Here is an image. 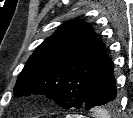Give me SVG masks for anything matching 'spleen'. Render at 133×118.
I'll use <instances>...</instances> for the list:
<instances>
[{"mask_svg":"<svg viewBox=\"0 0 133 118\" xmlns=\"http://www.w3.org/2000/svg\"><path fill=\"white\" fill-rule=\"evenodd\" d=\"M101 118H108V115L105 113L100 114Z\"/></svg>","mask_w":133,"mask_h":118,"instance_id":"spleen-1","label":"spleen"}]
</instances>
